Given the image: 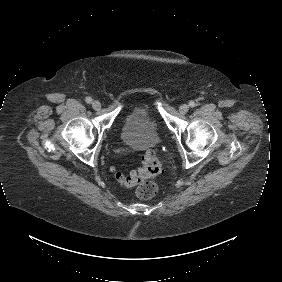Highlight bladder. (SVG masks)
I'll use <instances>...</instances> for the list:
<instances>
[{
  "mask_svg": "<svg viewBox=\"0 0 282 282\" xmlns=\"http://www.w3.org/2000/svg\"><path fill=\"white\" fill-rule=\"evenodd\" d=\"M120 141L135 151L146 150L159 143L156 123L149 116L146 106H135L126 115L120 129Z\"/></svg>",
  "mask_w": 282,
  "mask_h": 282,
  "instance_id": "obj_1",
  "label": "bladder"
}]
</instances>
